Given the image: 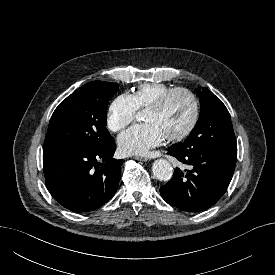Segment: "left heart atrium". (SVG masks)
Returning a JSON list of instances; mask_svg holds the SVG:
<instances>
[{"label": "left heart atrium", "instance_id": "obj_1", "mask_svg": "<svg viewBox=\"0 0 275 275\" xmlns=\"http://www.w3.org/2000/svg\"><path fill=\"white\" fill-rule=\"evenodd\" d=\"M165 136L152 123L134 125L118 137V146L125 155H145L160 145Z\"/></svg>", "mask_w": 275, "mask_h": 275}]
</instances>
